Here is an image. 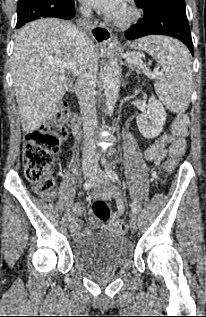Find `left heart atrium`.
<instances>
[{"label":"left heart atrium","mask_w":206,"mask_h":317,"mask_svg":"<svg viewBox=\"0 0 206 317\" xmlns=\"http://www.w3.org/2000/svg\"><path fill=\"white\" fill-rule=\"evenodd\" d=\"M84 3L103 12L108 17H116L124 7L125 0H82Z\"/></svg>","instance_id":"39dd6f15"}]
</instances>
